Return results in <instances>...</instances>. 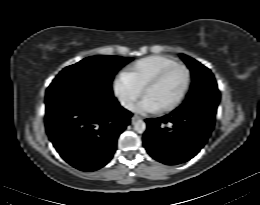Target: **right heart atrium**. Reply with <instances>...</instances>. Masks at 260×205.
Returning a JSON list of instances; mask_svg holds the SVG:
<instances>
[{
  "mask_svg": "<svg viewBox=\"0 0 260 205\" xmlns=\"http://www.w3.org/2000/svg\"><path fill=\"white\" fill-rule=\"evenodd\" d=\"M113 91L121 105L126 109H131L142 94V90L133 85L124 75L115 79Z\"/></svg>",
  "mask_w": 260,
  "mask_h": 205,
  "instance_id": "right-heart-atrium-1",
  "label": "right heart atrium"
}]
</instances>
